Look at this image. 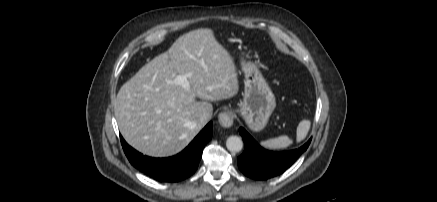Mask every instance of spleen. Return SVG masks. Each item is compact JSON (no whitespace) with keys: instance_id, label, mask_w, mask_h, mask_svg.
<instances>
[{"instance_id":"spleen-1","label":"spleen","mask_w":437,"mask_h":202,"mask_svg":"<svg viewBox=\"0 0 437 202\" xmlns=\"http://www.w3.org/2000/svg\"><path fill=\"white\" fill-rule=\"evenodd\" d=\"M310 121L302 120L297 127L296 139L297 141H302L307 136L310 129ZM263 147L267 149H282L286 148L292 144V139L288 136L283 135L276 138L268 139L260 143Z\"/></svg>"}]
</instances>
